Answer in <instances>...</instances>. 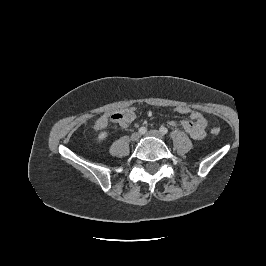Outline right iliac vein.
Returning <instances> with one entry per match:
<instances>
[{"instance_id":"63e3f726","label":"right iliac vein","mask_w":266,"mask_h":266,"mask_svg":"<svg viewBox=\"0 0 266 266\" xmlns=\"http://www.w3.org/2000/svg\"><path fill=\"white\" fill-rule=\"evenodd\" d=\"M140 138V135L139 133H133L130 137L131 141L135 142V141H138Z\"/></svg>"}]
</instances>
